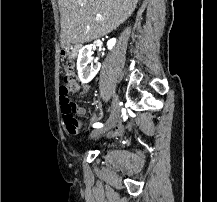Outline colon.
<instances>
[{
	"label": "colon",
	"mask_w": 217,
	"mask_h": 202,
	"mask_svg": "<svg viewBox=\"0 0 217 202\" xmlns=\"http://www.w3.org/2000/svg\"><path fill=\"white\" fill-rule=\"evenodd\" d=\"M59 55H70L69 47H64V50H59ZM62 66L64 68V73H58V78H73V73H71L72 65L69 63V60H66V63H63ZM60 86L61 97H59V102H62V117H64L63 125H66L70 134H79L81 132V128L78 120L75 118L76 105L70 96L71 83L61 82Z\"/></svg>",
	"instance_id": "colon-1"
}]
</instances>
